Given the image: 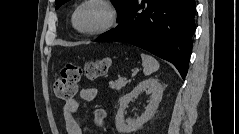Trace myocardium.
Returning a JSON list of instances; mask_svg holds the SVG:
<instances>
[{"mask_svg": "<svg viewBox=\"0 0 239 134\" xmlns=\"http://www.w3.org/2000/svg\"><path fill=\"white\" fill-rule=\"evenodd\" d=\"M89 5H97V6H100L101 8H103L106 12V20L100 27H98L96 29L83 30V29L79 28V26L77 25V16H78V13L84 7L89 6ZM117 19H118L117 12H116L114 6L109 1L87 0V1L81 2L74 10L73 15H72V25L79 33H81L83 35L93 36V35H98V34L104 33L106 31H108L109 29H111L116 24Z\"/></svg>", "mask_w": 239, "mask_h": 134, "instance_id": "obj_1", "label": "myocardium"}]
</instances>
